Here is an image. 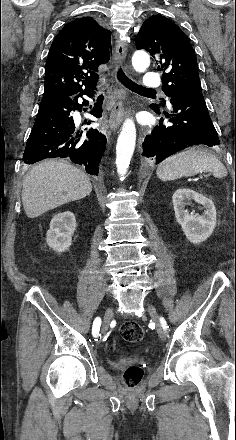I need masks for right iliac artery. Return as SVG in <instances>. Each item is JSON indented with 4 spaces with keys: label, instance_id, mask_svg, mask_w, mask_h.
Masks as SVG:
<instances>
[{
    "label": "right iliac artery",
    "instance_id": "obj_1",
    "mask_svg": "<svg viewBox=\"0 0 236 440\" xmlns=\"http://www.w3.org/2000/svg\"><path fill=\"white\" fill-rule=\"evenodd\" d=\"M100 326H101V319L99 317H97L94 320L93 327H92V334H93L94 337L98 336L99 330H100Z\"/></svg>",
    "mask_w": 236,
    "mask_h": 440
}]
</instances>
